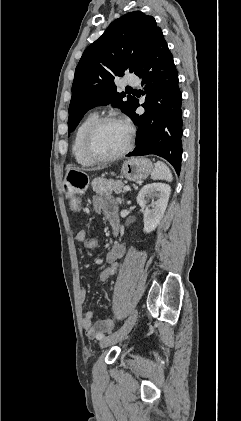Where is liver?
Returning a JSON list of instances; mask_svg holds the SVG:
<instances>
[{
	"label": "liver",
	"mask_w": 241,
	"mask_h": 421,
	"mask_svg": "<svg viewBox=\"0 0 241 421\" xmlns=\"http://www.w3.org/2000/svg\"><path fill=\"white\" fill-rule=\"evenodd\" d=\"M71 169V168H70ZM72 169H78V168H72ZM80 170V169H79ZM89 170H95V169H89Z\"/></svg>",
	"instance_id": "6515ba94"
}]
</instances>
